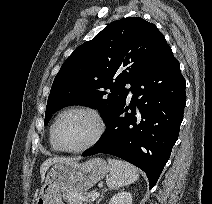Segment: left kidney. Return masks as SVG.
I'll use <instances>...</instances> for the list:
<instances>
[{"instance_id":"1","label":"left kidney","mask_w":212,"mask_h":204,"mask_svg":"<svg viewBox=\"0 0 212 204\" xmlns=\"http://www.w3.org/2000/svg\"><path fill=\"white\" fill-rule=\"evenodd\" d=\"M109 204H132V195L130 192L121 191L111 198Z\"/></svg>"}]
</instances>
